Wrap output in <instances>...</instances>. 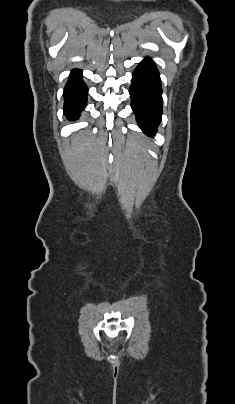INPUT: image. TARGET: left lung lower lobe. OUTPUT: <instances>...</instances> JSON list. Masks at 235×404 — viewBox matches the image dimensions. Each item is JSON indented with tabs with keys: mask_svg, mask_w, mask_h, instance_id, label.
<instances>
[{
	"mask_svg": "<svg viewBox=\"0 0 235 404\" xmlns=\"http://www.w3.org/2000/svg\"><path fill=\"white\" fill-rule=\"evenodd\" d=\"M129 92L139 127L153 135L162 115L161 80L153 61L145 59L136 67Z\"/></svg>",
	"mask_w": 235,
	"mask_h": 404,
	"instance_id": "1",
	"label": "left lung lower lobe"
}]
</instances>
